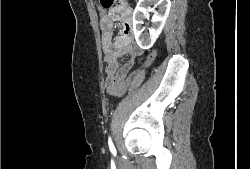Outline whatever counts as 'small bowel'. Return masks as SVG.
I'll use <instances>...</instances> for the list:
<instances>
[{
  "label": "small bowel",
  "mask_w": 250,
  "mask_h": 169,
  "mask_svg": "<svg viewBox=\"0 0 250 169\" xmlns=\"http://www.w3.org/2000/svg\"><path fill=\"white\" fill-rule=\"evenodd\" d=\"M120 14L121 18L125 22L124 35L128 37L130 29L127 13L124 10H120ZM111 20L112 14H109L102 19V43L106 65L105 87L109 94L118 95L116 94V89H127L118 88V83H129L123 82V77H128L127 74L133 66L134 59L141 57L142 51L133 43H118L117 45H114L109 31V23ZM123 56H128V60L125 63L120 64L119 59Z\"/></svg>",
  "instance_id": "obj_1"
}]
</instances>
